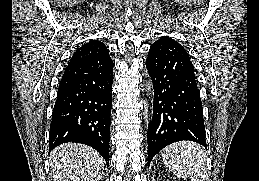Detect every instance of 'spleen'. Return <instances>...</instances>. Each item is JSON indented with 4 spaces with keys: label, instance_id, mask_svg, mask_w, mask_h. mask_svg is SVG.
Masks as SVG:
<instances>
[{
    "label": "spleen",
    "instance_id": "obj_1",
    "mask_svg": "<svg viewBox=\"0 0 259 181\" xmlns=\"http://www.w3.org/2000/svg\"><path fill=\"white\" fill-rule=\"evenodd\" d=\"M164 164L176 176L191 181H207L204 150L199 144L181 141L162 150Z\"/></svg>",
    "mask_w": 259,
    "mask_h": 181
}]
</instances>
